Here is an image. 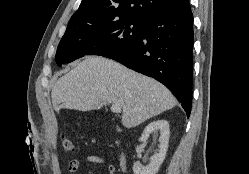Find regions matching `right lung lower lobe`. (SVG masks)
<instances>
[{"label": "right lung lower lobe", "mask_w": 249, "mask_h": 174, "mask_svg": "<svg viewBox=\"0 0 249 174\" xmlns=\"http://www.w3.org/2000/svg\"><path fill=\"white\" fill-rule=\"evenodd\" d=\"M193 14L190 6L145 20L141 37L125 50L102 56L163 83L189 117L192 106Z\"/></svg>", "instance_id": "98d812e1"}]
</instances>
